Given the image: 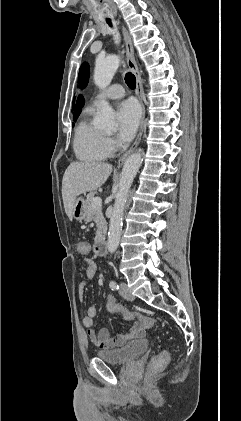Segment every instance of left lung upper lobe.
Returning a JSON list of instances; mask_svg holds the SVG:
<instances>
[{
  "label": "left lung upper lobe",
  "mask_w": 241,
  "mask_h": 421,
  "mask_svg": "<svg viewBox=\"0 0 241 421\" xmlns=\"http://www.w3.org/2000/svg\"><path fill=\"white\" fill-rule=\"evenodd\" d=\"M89 75V66L87 63H83L79 70L78 82L81 84L82 89L87 86Z\"/></svg>",
  "instance_id": "left-lung-upper-lobe-1"
}]
</instances>
